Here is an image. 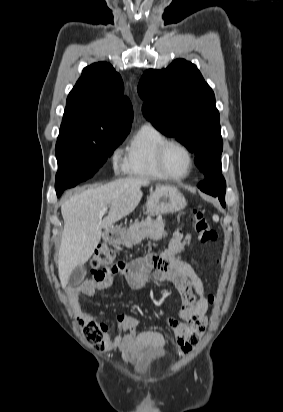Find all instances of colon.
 <instances>
[{"instance_id": "1", "label": "colon", "mask_w": 283, "mask_h": 412, "mask_svg": "<svg viewBox=\"0 0 283 412\" xmlns=\"http://www.w3.org/2000/svg\"><path fill=\"white\" fill-rule=\"evenodd\" d=\"M192 222L200 241L206 245L214 246L217 242V233L210 226L202 209L194 208L192 210ZM181 248V234L176 232L169 243L168 251L154 258L146 257L143 260L137 261L135 262V266L140 270H149L153 264L165 267L168 264V259L171 256L176 255ZM216 261L218 260L215 259L214 263H216ZM126 265L127 263L124 261L114 262L113 250L106 245L98 246L92 257L93 273L96 278H103L108 275L116 274L123 270ZM214 300V294H209L208 301L213 303ZM79 326L84 337L90 344L101 346L103 336L107 330L105 324L95 320H86L82 318L79 321Z\"/></svg>"}]
</instances>
